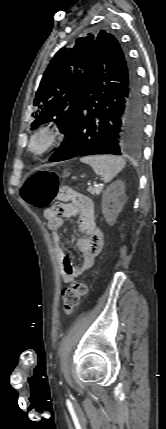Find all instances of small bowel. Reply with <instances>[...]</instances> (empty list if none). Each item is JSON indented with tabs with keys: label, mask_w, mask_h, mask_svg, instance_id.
<instances>
[{
	"label": "small bowel",
	"mask_w": 166,
	"mask_h": 429,
	"mask_svg": "<svg viewBox=\"0 0 166 429\" xmlns=\"http://www.w3.org/2000/svg\"><path fill=\"white\" fill-rule=\"evenodd\" d=\"M44 211L47 227L52 232L53 250L59 265V272L64 282L69 283L91 268L96 256L104 245V233L95 221V209L89 200L87 205L81 206L66 199ZM78 216L80 231L85 237L76 241V248L82 256V264L76 266L61 246L62 236L59 232L63 225V217Z\"/></svg>",
	"instance_id": "c3829d8e"
}]
</instances>
